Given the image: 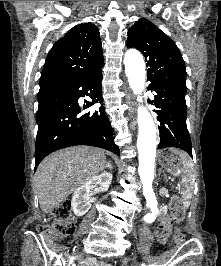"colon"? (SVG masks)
I'll return each instance as SVG.
<instances>
[{
  "mask_svg": "<svg viewBox=\"0 0 221 266\" xmlns=\"http://www.w3.org/2000/svg\"><path fill=\"white\" fill-rule=\"evenodd\" d=\"M54 222L51 226L41 225L37 229L40 232L50 233L57 237H67L75 233L76 226L71 217V202L68 200L59 203L53 212ZM185 216V208L178 197H174L170 204V214L160 223L156 229V237L159 242L165 243L172 232L173 226L180 224ZM175 241L181 244L184 235L175 233Z\"/></svg>",
  "mask_w": 221,
  "mask_h": 266,
  "instance_id": "5ec220e1",
  "label": "colon"
}]
</instances>
